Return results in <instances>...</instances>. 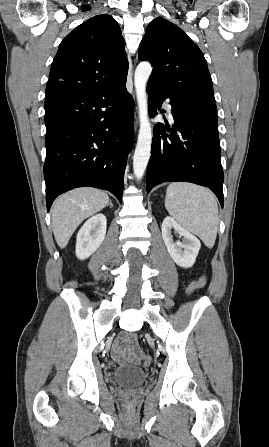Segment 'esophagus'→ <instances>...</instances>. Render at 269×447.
Returning <instances> with one entry per match:
<instances>
[{
	"label": "esophagus",
	"instance_id": "34e87169",
	"mask_svg": "<svg viewBox=\"0 0 269 447\" xmlns=\"http://www.w3.org/2000/svg\"><path fill=\"white\" fill-rule=\"evenodd\" d=\"M137 126H138V119H137V117L135 116V123H134V129H135V131L137 130Z\"/></svg>",
	"mask_w": 269,
	"mask_h": 447
}]
</instances>
